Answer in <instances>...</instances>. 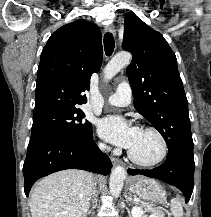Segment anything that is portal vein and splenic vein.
<instances>
[{"instance_id":"18ae733b","label":"portal vein and splenic vein","mask_w":211,"mask_h":217,"mask_svg":"<svg viewBox=\"0 0 211 217\" xmlns=\"http://www.w3.org/2000/svg\"><path fill=\"white\" fill-rule=\"evenodd\" d=\"M135 201H136V202H139V200H138V199H135Z\"/></svg>"}]
</instances>
